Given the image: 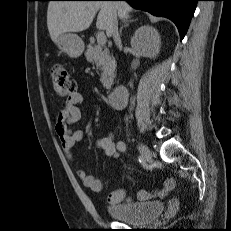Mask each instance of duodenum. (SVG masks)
I'll return each mask as SVG.
<instances>
[{"label":"duodenum","instance_id":"1","mask_svg":"<svg viewBox=\"0 0 231 231\" xmlns=\"http://www.w3.org/2000/svg\"><path fill=\"white\" fill-rule=\"evenodd\" d=\"M128 89L124 85H119L109 94V102L114 109H122L124 107Z\"/></svg>","mask_w":231,"mask_h":231}]
</instances>
